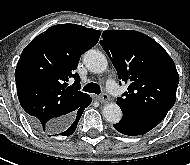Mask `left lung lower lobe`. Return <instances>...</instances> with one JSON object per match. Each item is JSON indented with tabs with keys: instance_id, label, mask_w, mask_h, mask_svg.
<instances>
[{
	"instance_id": "left-lung-lower-lobe-1",
	"label": "left lung lower lobe",
	"mask_w": 190,
	"mask_h": 165,
	"mask_svg": "<svg viewBox=\"0 0 190 165\" xmlns=\"http://www.w3.org/2000/svg\"><path fill=\"white\" fill-rule=\"evenodd\" d=\"M123 117L114 128L129 136L143 135L157 126L164 117L121 109Z\"/></svg>"
}]
</instances>
